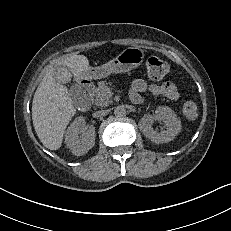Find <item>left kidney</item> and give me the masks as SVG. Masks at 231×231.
Listing matches in <instances>:
<instances>
[{
  "label": "left kidney",
  "mask_w": 231,
  "mask_h": 231,
  "mask_svg": "<svg viewBox=\"0 0 231 231\" xmlns=\"http://www.w3.org/2000/svg\"><path fill=\"white\" fill-rule=\"evenodd\" d=\"M155 120L163 121L167 126L166 130L160 133L154 131L152 124ZM139 128L152 142L167 143L172 141L181 131V121L171 108L160 106L156 109L155 115H146L141 118Z\"/></svg>",
  "instance_id": "1"
}]
</instances>
